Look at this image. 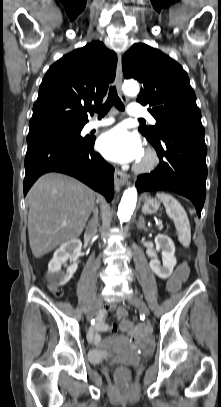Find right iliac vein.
I'll list each match as a JSON object with an SVG mask.
<instances>
[{"label": "right iliac vein", "instance_id": "1", "mask_svg": "<svg viewBox=\"0 0 221 407\" xmlns=\"http://www.w3.org/2000/svg\"><path fill=\"white\" fill-rule=\"evenodd\" d=\"M103 304V296L102 294H98L97 297L94 299L93 304L88 312L87 318L88 320L92 319L93 316L97 313L99 308Z\"/></svg>", "mask_w": 221, "mask_h": 407}]
</instances>
